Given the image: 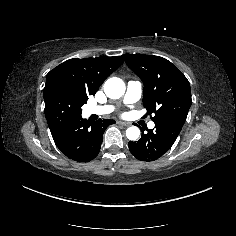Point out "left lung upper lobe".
Wrapping results in <instances>:
<instances>
[{
  "label": "left lung upper lobe",
  "instance_id": "1",
  "mask_svg": "<svg viewBox=\"0 0 236 236\" xmlns=\"http://www.w3.org/2000/svg\"><path fill=\"white\" fill-rule=\"evenodd\" d=\"M126 64L141 78L143 105L155 113L152 121H186L192 104L190 84L182 72L165 58L153 55L122 56Z\"/></svg>",
  "mask_w": 236,
  "mask_h": 236
}]
</instances>
